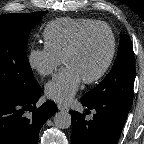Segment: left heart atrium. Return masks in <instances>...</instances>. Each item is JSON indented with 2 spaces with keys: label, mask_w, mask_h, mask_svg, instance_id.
<instances>
[{
  "label": "left heart atrium",
  "mask_w": 144,
  "mask_h": 144,
  "mask_svg": "<svg viewBox=\"0 0 144 144\" xmlns=\"http://www.w3.org/2000/svg\"><path fill=\"white\" fill-rule=\"evenodd\" d=\"M82 81V76L74 67L66 66L46 85V95L56 102L68 103Z\"/></svg>",
  "instance_id": "left-heart-atrium-1"
}]
</instances>
